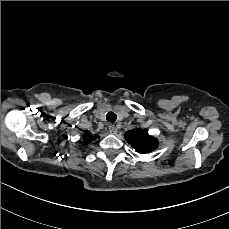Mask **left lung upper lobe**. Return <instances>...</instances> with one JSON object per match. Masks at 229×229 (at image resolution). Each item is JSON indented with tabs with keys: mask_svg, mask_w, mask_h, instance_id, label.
Here are the masks:
<instances>
[{
	"mask_svg": "<svg viewBox=\"0 0 229 229\" xmlns=\"http://www.w3.org/2000/svg\"><path fill=\"white\" fill-rule=\"evenodd\" d=\"M125 139L139 153H151L158 147V140L141 128L127 131Z\"/></svg>",
	"mask_w": 229,
	"mask_h": 229,
	"instance_id": "1",
	"label": "left lung upper lobe"
}]
</instances>
